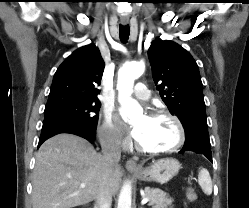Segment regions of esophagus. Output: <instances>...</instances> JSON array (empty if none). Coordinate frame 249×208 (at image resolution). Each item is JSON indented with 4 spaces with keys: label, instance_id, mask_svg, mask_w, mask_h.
Returning <instances> with one entry per match:
<instances>
[{
    "label": "esophagus",
    "instance_id": "obj_1",
    "mask_svg": "<svg viewBox=\"0 0 249 208\" xmlns=\"http://www.w3.org/2000/svg\"><path fill=\"white\" fill-rule=\"evenodd\" d=\"M129 22L128 19H121V24L122 25H127ZM126 168L128 170H138L139 169V166L137 165L136 163V160L133 159V158H130L126 161V164H125Z\"/></svg>",
    "mask_w": 249,
    "mask_h": 208
}]
</instances>
